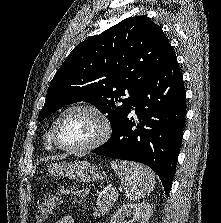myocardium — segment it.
<instances>
[{"label": "myocardium", "mask_w": 221, "mask_h": 223, "mask_svg": "<svg viewBox=\"0 0 221 223\" xmlns=\"http://www.w3.org/2000/svg\"><path fill=\"white\" fill-rule=\"evenodd\" d=\"M75 110H82L92 113L100 122L101 130L97 137H95L89 143L82 146H65L61 144L57 138V130L61 119L69 112ZM112 133V124L108 116L101 111L99 108L90 105V104H75L65 108L57 118L55 119L52 129H51V141L53 144L60 150L69 151V152H86L96 149L97 147L104 144Z\"/></svg>", "instance_id": "f54148a6"}]
</instances>
